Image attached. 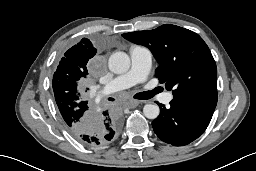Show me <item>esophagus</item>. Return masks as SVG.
<instances>
[{"label": "esophagus", "instance_id": "1", "mask_svg": "<svg viewBox=\"0 0 256 171\" xmlns=\"http://www.w3.org/2000/svg\"><path fill=\"white\" fill-rule=\"evenodd\" d=\"M143 101H138V100H131L129 102H127V107L128 108H136L139 104H141Z\"/></svg>", "mask_w": 256, "mask_h": 171}]
</instances>
